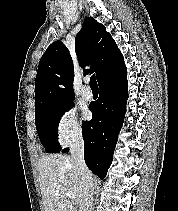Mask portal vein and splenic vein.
I'll list each match as a JSON object with an SVG mask.
<instances>
[{
  "mask_svg": "<svg viewBox=\"0 0 178 211\" xmlns=\"http://www.w3.org/2000/svg\"><path fill=\"white\" fill-rule=\"evenodd\" d=\"M66 195L70 198V199H75V196L72 192H66Z\"/></svg>",
  "mask_w": 178,
  "mask_h": 211,
  "instance_id": "portal-vein-and-splenic-vein-1",
  "label": "portal vein and splenic vein"
}]
</instances>
